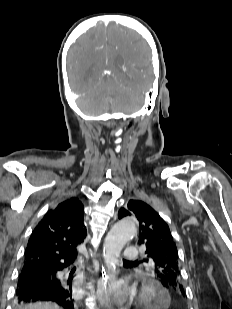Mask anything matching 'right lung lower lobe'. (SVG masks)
<instances>
[{
	"label": "right lung lower lobe",
	"instance_id": "obj_1",
	"mask_svg": "<svg viewBox=\"0 0 232 309\" xmlns=\"http://www.w3.org/2000/svg\"><path fill=\"white\" fill-rule=\"evenodd\" d=\"M38 266L35 262H24L21 274L27 275L28 279L19 275L16 303L22 306L31 302L52 301L64 309H74L72 279L61 274L69 265L43 269H39Z\"/></svg>",
	"mask_w": 232,
	"mask_h": 309
}]
</instances>
